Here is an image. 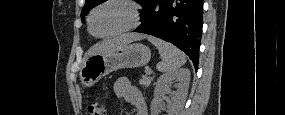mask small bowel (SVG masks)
I'll return each instance as SVG.
<instances>
[{"label":"small bowel","instance_id":"1","mask_svg":"<svg viewBox=\"0 0 285 115\" xmlns=\"http://www.w3.org/2000/svg\"><path fill=\"white\" fill-rule=\"evenodd\" d=\"M113 93L132 105L135 115H147V105L142 92L126 78H118L112 85Z\"/></svg>","mask_w":285,"mask_h":115}]
</instances>
